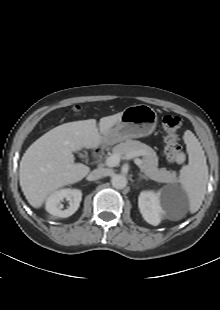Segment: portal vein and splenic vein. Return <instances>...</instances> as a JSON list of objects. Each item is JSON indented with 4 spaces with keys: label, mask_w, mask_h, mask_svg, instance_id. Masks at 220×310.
<instances>
[{
    "label": "portal vein and splenic vein",
    "mask_w": 220,
    "mask_h": 310,
    "mask_svg": "<svg viewBox=\"0 0 220 310\" xmlns=\"http://www.w3.org/2000/svg\"><path fill=\"white\" fill-rule=\"evenodd\" d=\"M120 162V155L119 154H112L111 156H109L106 161H105V164L108 166V167H115L119 164ZM135 164L141 168L142 166V160H140L139 158H136L134 160Z\"/></svg>",
    "instance_id": "portal-vein-and-splenic-vein-1"
}]
</instances>
